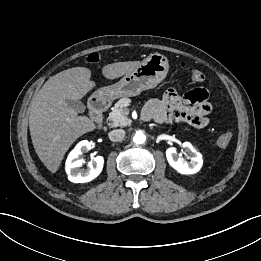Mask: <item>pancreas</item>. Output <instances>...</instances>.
<instances>
[{
    "instance_id": "pancreas-1",
    "label": "pancreas",
    "mask_w": 261,
    "mask_h": 261,
    "mask_svg": "<svg viewBox=\"0 0 261 261\" xmlns=\"http://www.w3.org/2000/svg\"><path fill=\"white\" fill-rule=\"evenodd\" d=\"M130 104V99L124 97L120 99L113 107L109 114L112 127H124L130 123L127 115L129 114V109L127 106Z\"/></svg>"
}]
</instances>
